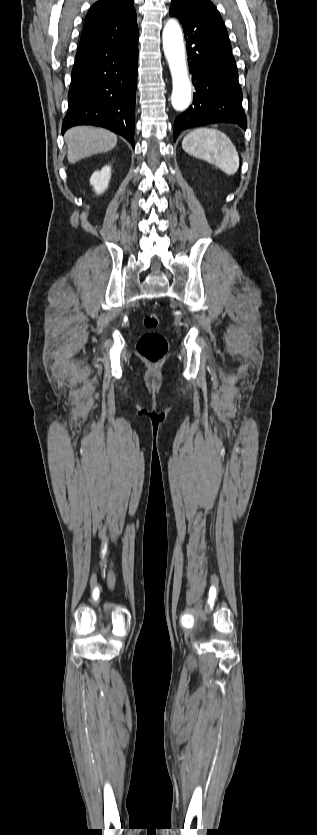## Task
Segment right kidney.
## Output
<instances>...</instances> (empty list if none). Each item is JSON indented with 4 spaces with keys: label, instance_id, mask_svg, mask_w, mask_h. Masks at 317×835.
<instances>
[{
    "label": "right kidney",
    "instance_id": "obj_1",
    "mask_svg": "<svg viewBox=\"0 0 317 835\" xmlns=\"http://www.w3.org/2000/svg\"><path fill=\"white\" fill-rule=\"evenodd\" d=\"M111 177V167L105 166L101 171L94 172L90 178V184L97 194H102L108 187Z\"/></svg>",
    "mask_w": 317,
    "mask_h": 835
}]
</instances>
